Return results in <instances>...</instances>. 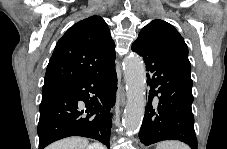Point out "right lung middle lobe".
Segmentation results:
<instances>
[{
	"label": "right lung middle lobe",
	"instance_id": "dd1d6c3e",
	"mask_svg": "<svg viewBox=\"0 0 227 149\" xmlns=\"http://www.w3.org/2000/svg\"><path fill=\"white\" fill-rule=\"evenodd\" d=\"M56 88L53 89H42V99L49 96Z\"/></svg>",
	"mask_w": 227,
	"mask_h": 149
}]
</instances>
